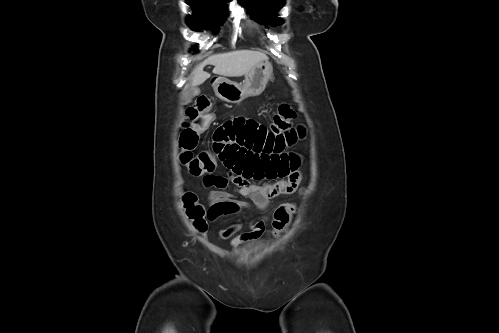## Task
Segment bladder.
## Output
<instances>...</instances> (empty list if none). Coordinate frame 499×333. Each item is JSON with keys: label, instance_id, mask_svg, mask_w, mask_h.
<instances>
[{"label": "bladder", "instance_id": "bladder-1", "mask_svg": "<svg viewBox=\"0 0 499 333\" xmlns=\"http://www.w3.org/2000/svg\"><path fill=\"white\" fill-rule=\"evenodd\" d=\"M265 246V242L263 240H258V241H255V242H252L250 244H248L245 249H248V250H257V249H260L262 247Z\"/></svg>", "mask_w": 499, "mask_h": 333}]
</instances>
